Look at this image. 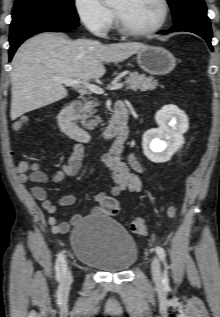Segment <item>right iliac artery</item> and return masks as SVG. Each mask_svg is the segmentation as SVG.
<instances>
[{
  "instance_id": "obj_1",
  "label": "right iliac artery",
  "mask_w": 220,
  "mask_h": 317,
  "mask_svg": "<svg viewBox=\"0 0 220 317\" xmlns=\"http://www.w3.org/2000/svg\"><path fill=\"white\" fill-rule=\"evenodd\" d=\"M55 270L57 279L61 280L66 271V261L64 259L63 253L61 252L57 256Z\"/></svg>"
}]
</instances>
